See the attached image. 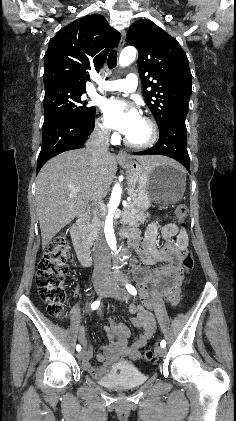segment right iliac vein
<instances>
[{"instance_id":"obj_1","label":"right iliac vein","mask_w":236,"mask_h":421,"mask_svg":"<svg viewBox=\"0 0 236 421\" xmlns=\"http://www.w3.org/2000/svg\"><path fill=\"white\" fill-rule=\"evenodd\" d=\"M104 284H105V279H101L98 282H96L95 287H96V293L98 294V296H102L104 294V289H103ZM85 354H86L85 349L81 350L77 354L78 360H82Z\"/></svg>"}]
</instances>
